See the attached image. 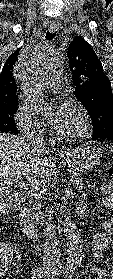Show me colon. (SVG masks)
Returning a JSON list of instances; mask_svg holds the SVG:
<instances>
[{
	"label": "colon",
	"instance_id": "1",
	"mask_svg": "<svg viewBox=\"0 0 113 279\" xmlns=\"http://www.w3.org/2000/svg\"><path fill=\"white\" fill-rule=\"evenodd\" d=\"M110 177V185L113 184V170L109 172ZM107 188L110 190V186H107ZM1 224V221H0ZM16 253L9 250L8 246H4L0 244V276H2L6 270V265L9 262L16 261Z\"/></svg>",
	"mask_w": 113,
	"mask_h": 279
}]
</instances>
